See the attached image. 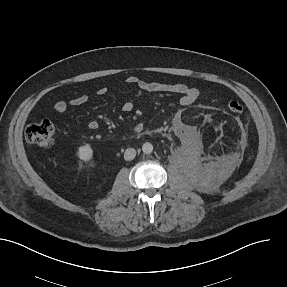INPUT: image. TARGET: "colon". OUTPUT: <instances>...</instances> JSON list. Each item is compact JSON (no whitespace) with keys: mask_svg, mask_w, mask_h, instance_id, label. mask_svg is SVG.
<instances>
[{"mask_svg":"<svg viewBox=\"0 0 287 287\" xmlns=\"http://www.w3.org/2000/svg\"><path fill=\"white\" fill-rule=\"evenodd\" d=\"M228 108L233 113H241L243 106L238 100L232 99L228 102ZM55 125L48 120L31 124L27 127L25 137L26 140L40 148L50 147L55 138Z\"/></svg>","mask_w":287,"mask_h":287,"instance_id":"obj_1","label":"colon"}]
</instances>
